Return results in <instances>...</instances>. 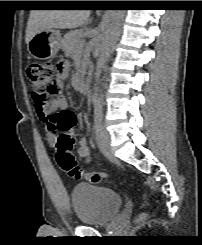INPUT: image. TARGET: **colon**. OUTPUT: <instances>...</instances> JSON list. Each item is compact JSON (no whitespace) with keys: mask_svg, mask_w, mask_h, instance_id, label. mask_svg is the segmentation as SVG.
<instances>
[{"mask_svg":"<svg viewBox=\"0 0 202 245\" xmlns=\"http://www.w3.org/2000/svg\"><path fill=\"white\" fill-rule=\"evenodd\" d=\"M66 66L62 61L38 62L32 61L27 66V76L34 92L36 112L45 118L49 131L57 135L55 146V160L61 171L75 179H84L93 184L100 183L107 178L106 173L88 172L80 167L72 153L76 137L72 129L78 124L76 114L69 110L50 112L51 101L61 94L62 83L66 76ZM147 204V200L145 199ZM146 213L141 212L136 222L146 219Z\"/></svg>","mask_w":202,"mask_h":245,"instance_id":"colon-1","label":"colon"}]
</instances>
